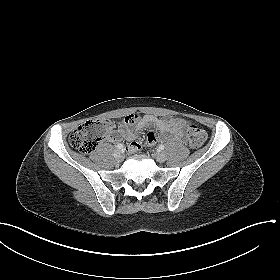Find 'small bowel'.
Segmentation results:
<instances>
[{"label": "small bowel", "mask_w": 280, "mask_h": 280, "mask_svg": "<svg viewBox=\"0 0 280 280\" xmlns=\"http://www.w3.org/2000/svg\"><path fill=\"white\" fill-rule=\"evenodd\" d=\"M134 117V116H133ZM135 118L134 123H125L121 126L118 133L112 138L114 141L126 139L130 142L128 146L129 153H135L141 145L135 141L140 131L146 127H153L161 134H168L176 140L183 138L187 121L182 118H159L154 115H144L141 118ZM133 126V128H131ZM158 142V136L155 131H148L145 136V144L154 146Z\"/></svg>", "instance_id": "obj_1"}]
</instances>
